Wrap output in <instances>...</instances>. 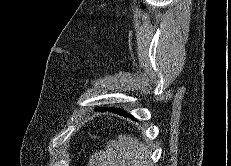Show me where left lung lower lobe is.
Masks as SVG:
<instances>
[{
  "mask_svg": "<svg viewBox=\"0 0 231 166\" xmlns=\"http://www.w3.org/2000/svg\"><path fill=\"white\" fill-rule=\"evenodd\" d=\"M98 110L99 111H111V112L117 113V114L125 116V117H131V118H133L132 115L126 113L122 109H117V108H98Z\"/></svg>",
  "mask_w": 231,
  "mask_h": 166,
  "instance_id": "0a47b994",
  "label": "left lung lower lobe"
}]
</instances>
